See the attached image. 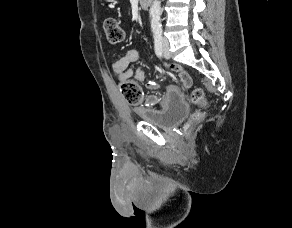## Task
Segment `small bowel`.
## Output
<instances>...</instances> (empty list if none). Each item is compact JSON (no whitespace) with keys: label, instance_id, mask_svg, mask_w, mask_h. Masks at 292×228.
<instances>
[{"label":"small bowel","instance_id":"c3829d8e","mask_svg":"<svg viewBox=\"0 0 292 228\" xmlns=\"http://www.w3.org/2000/svg\"><path fill=\"white\" fill-rule=\"evenodd\" d=\"M141 57L139 49L128 50L120 59L112 64V71L120 81L135 78L137 81H144L146 78L145 72L141 68L129 69V65L136 62ZM171 71L176 74L180 82L185 88H189L192 84L190 75L178 64H171L169 66ZM152 87V85H148ZM183 94L178 88L173 85H168L165 88L162 97L158 93H152L144 98V105L136 108V113L140 116L149 114H158L163 109L176 105L183 101ZM159 106V107H157Z\"/></svg>","mask_w":292,"mask_h":228}]
</instances>
